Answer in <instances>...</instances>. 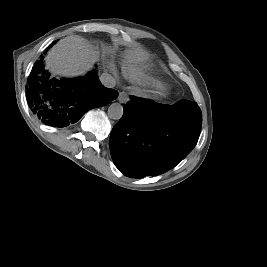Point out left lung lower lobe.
<instances>
[{"label":"left lung lower lobe","instance_id":"1","mask_svg":"<svg viewBox=\"0 0 267 267\" xmlns=\"http://www.w3.org/2000/svg\"><path fill=\"white\" fill-rule=\"evenodd\" d=\"M109 139L116 167L126 176H156L175 167L194 148L202 125L195 102L174 105L130 96Z\"/></svg>","mask_w":267,"mask_h":267}]
</instances>
